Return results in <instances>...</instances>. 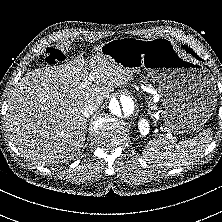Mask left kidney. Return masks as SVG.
Listing matches in <instances>:
<instances>
[{"label":"left kidney","instance_id":"left-kidney-1","mask_svg":"<svg viewBox=\"0 0 222 222\" xmlns=\"http://www.w3.org/2000/svg\"><path fill=\"white\" fill-rule=\"evenodd\" d=\"M138 129L141 135L146 136L150 130L148 121L146 119H140L138 122Z\"/></svg>","mask_w":222,"mask_h":222}]
</instances>
